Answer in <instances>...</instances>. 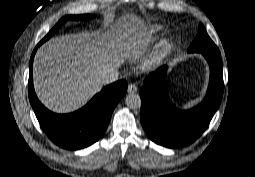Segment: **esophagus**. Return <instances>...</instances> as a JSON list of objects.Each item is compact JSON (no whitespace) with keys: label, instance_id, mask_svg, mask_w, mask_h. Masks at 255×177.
Listing matches in <instances>:
<instances>
[{"label":"esophagus","instance_id":"1","mask_svg":"<svg viewBox=\"0 0 255 177\" xmlns=\"http://www.w3.org/2000/svg\"><path fill=\"white\" fill-rule=\"evenodd\" d=\"M138 88L135 84H129L128 86V93L129 94H135L137 92Z\"/></svg>","mask_w":255,"mask_h":177}]
</instances>
